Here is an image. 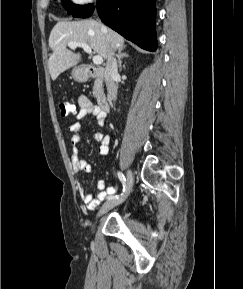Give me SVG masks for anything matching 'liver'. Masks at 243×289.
<instances>
[{
	"label": "liver",
	"instance_id": "liver-1",
	"mask_svg": "<svg viewBox=\"0 0 243 289\" xmlns=\"http://www.w3.org/2000/svg\"><path fill=\"white\" fill-rule=\"evenodd\" d=\"M69 42L86 43L104 59L107 58L109 50L125 46L121 35L94 19L59 21L49 36L52 53L48 60V68L52 80H56L61 73L82 61L80 53L67 49Z\"/></svg>",
	"mask_w": 243,
	"mask_h": 289
}]
</instances>
